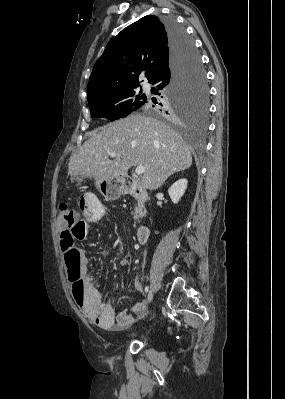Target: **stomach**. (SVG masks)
<instances>
[{
  "label": "stomach",
  "instance_id": "1",
  "mask_svg": "<svg viewBox=\"0 0 285 399\" xmlns=\"http://www.w3.org/2000/svg\"><path fill=\"white\" fill-rule=\"evenodd\" d=\"M71 181L80 185L83 177L71 176ZM95 183L99 192L108 200H117L124 193V179L122 177L99 178L96 179Z\"/></svg>",
  "mask_w": 285,
  "mask_h": 399
}]
</instances>
